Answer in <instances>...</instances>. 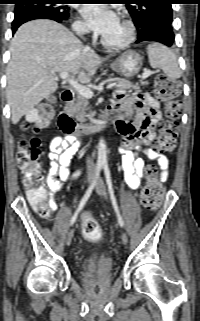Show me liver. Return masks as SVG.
<instances>
[{
    "instance_id": "obj_1",
    "label": "liver",
    "mask_w": 200,
    "mask_h": 321,
    "mask_svg": "<svg viewBox=\"0 0 200 321\" xmlns=\"http://www.w3.org/2000/svg\"><path fill=\"white\" fill-rule=\"evenodd\" d=\"M102 59L63 25L46 19L23 24L11 41V59L7 67V100L11 120H19L58 85L55 74L77 75L89 83Z\"/></svg>"
}]
</instances>
